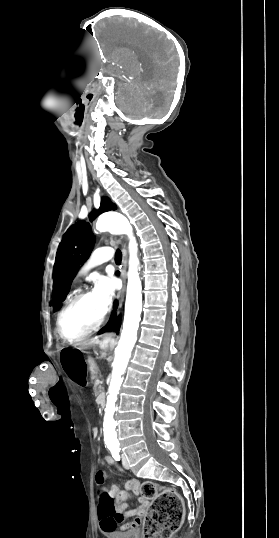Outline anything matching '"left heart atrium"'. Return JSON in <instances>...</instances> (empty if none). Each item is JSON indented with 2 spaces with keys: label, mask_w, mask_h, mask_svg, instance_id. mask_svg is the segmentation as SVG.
Segmentation results:
<instances>
[{
  "label": "left heart atrium",
  "mask_w": 279,
  "mask_h": 538,
  "mask_svg": "<svg viewBox=\"0 0 279 538\" xmlns=\"http://www.w3.org/2000/svg\"><path fill=\"white\" fill-rule=\"evenodd\" d=\"M115 288L116 280L112 275L99 276L95 281L94 294L101 302L104 311L111 305Z\"/></svg>",
  "instance_id": "obj_1"
}]
</instances>
